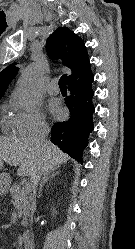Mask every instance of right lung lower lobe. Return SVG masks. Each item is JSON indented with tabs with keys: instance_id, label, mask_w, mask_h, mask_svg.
<instances>
[{
	"instance_id": "98d812e1",
	"label": "right lung lower lobe",
	"mask_w": 135,
	"mask_h": 249,
	"mask_svg": "<svg viewBox=\"0 0 135 249\" xmlns=\"http://www.w3.org/2000/svg\"><path fill=\"white\" fill-rule=\"evenodd\" d=\"M93 80L94 75L91 74L81 81L68 84L70 95L65 98V104L70 110V118L55 123L51 130L52 142L81 163L83 150L88 145L89 134L94 128Z\"/></svg>"
}]
</instances>
